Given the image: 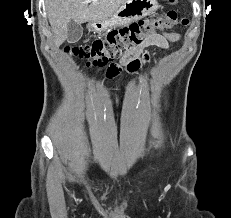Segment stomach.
<instances>
[{
  "label": "stomach",
  "mask_w": 231,
  "mask_h": 218,
  "mask_svg": "<svg viewBox=\"0 0 231 218\" xmlns=\"http://www.w3.org/2000/svg\"><path fill=\"white\" fill-rule=\"evenodd\" d=\"M158 7L157 0H126L110 18L92 22L88 29L94 33H103L142 19L155 12Z\"/></svg>",
  "instance_id": "obj_1"
}]
</instances>
